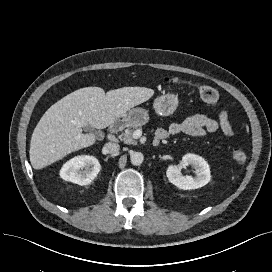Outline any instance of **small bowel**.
<instances>
[{"label": "small bowel", "instance_id": "small-bowel-1", "mask_svg": "<svg viewBox=\"0 0 272 272\" xmlns=\"http://www.w3.org/2000/svg\"><path fill=\"white\" fill-rule=\"evenodd\" d=\"M218 132L226 136L233 134L229 115L226 111H222L217 118H212L204 114L189 116L180 122L172 123L168 128H159L155 133V138L165 140L180 133L201 137L208 133Z\"/></svg>", "mask_w": 272, "mask_h": 272}]
</instances>
